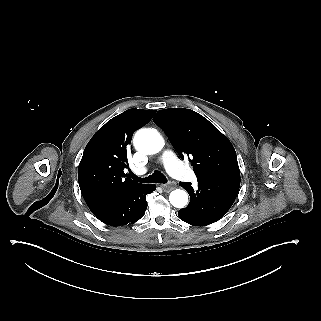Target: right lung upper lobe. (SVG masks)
Instances as JSON below:
<instances>
[{"instance_id": "cb5924a9", "label": "right lung upper lobe", "mask_w": 321, "mask_h": 321, "mask_svg": "<svg viewBox=\"0 0 321 321\" xmlns=\"http://www.w3.org/2000/svg\"><path fill=\"white\" fill-rule=\"evenodd\" d=\"M155 112L126 110L109 120L88 142L78 167L80 190L88 206L142 185L126 177L123 170L127 168V149L134 131L149 122Z\"/></svg>"}]
</instances>
